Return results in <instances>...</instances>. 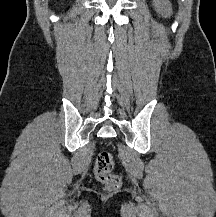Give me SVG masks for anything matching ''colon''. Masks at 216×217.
<instances>
[{
    "mask_svg": "<svg viewBox=\"0 0 216 217\" xmlns=\"http://www.w3.org/2000/svg\"><path fill=\"white\" fill-rule=\"evenodd\" d=\"M114 167L113 156L110 152H100L96 158L94 174L96 179L104 185L108 191L115 190L121 185V178L112 173Z\"/></svg>",
    "mask_w": 216,
    "mask_h": 217,
    "instance_id": "obj_1",
    "label": "colon"
}]
</instances>
